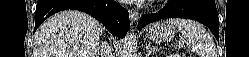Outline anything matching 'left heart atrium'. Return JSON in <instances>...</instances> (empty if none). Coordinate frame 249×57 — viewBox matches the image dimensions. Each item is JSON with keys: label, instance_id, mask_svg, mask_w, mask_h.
Segmentation results:
<instances>
[{"label": "left heart atrium", "instance_id": "1", "mask_svg": "<svg viewBox=\"0 0 249 57\" xmlns=\"http://www.w3.org/2000/svg\"><path fill=\"white\" fill-rule=\"evenodd\" d=\"M144 0H138L137 2H143Z\"/></svg>", "mask_w": 249, "mask_h": 57}]
</instances>
